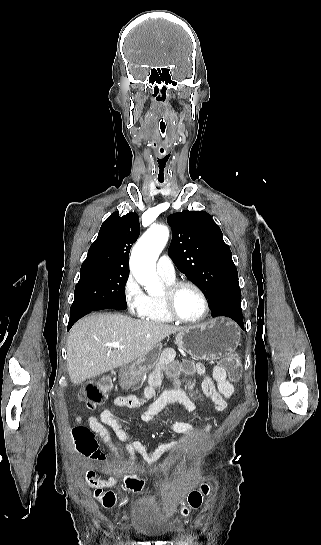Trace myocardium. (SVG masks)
I'll use <instances>...</instances> for the list:
<instances>
[{
    "label": "myocardium",
    "mask_w": 321,
    "mask_h": 545,
    "mask_svg": "<svg viewBox=\"0 0 321 545\" xmlns=\"http://www.w3.org/2000/svg\"><path fill=\"white\" fill-rule=\"evenodd\" d=\"M184 288H191L194 289L199 296L201 297L202 303H203V313L202 315L195 319V320H185L182 319L176 312L174 308V298L177 295L178 292H180ZM164 292L165 296L159 300L163 311L166 313V315L170 318L171 321L184 325V326H198L202 324L210 313V303L208 300V297L206 293L203 291V289L198 286L197 284L190 282V281H176L172 282L170 284L164 285Z\"/></svg>",
    "instance_id": "1"
}]
</instances>
